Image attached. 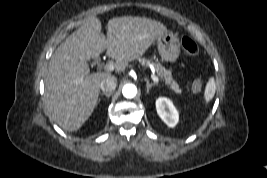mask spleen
<instances>
[{
  "mask_svg": "<svg viewBox=\"0 0 267 178\" xmlns=\"http://www.w3.org/2000/svg\"><path fill=\"white\" fill-rule=\"evenodd\" d=\"M215 90H216L215 82L213 79H210L207 83L206 90L204 93L206 102H209L214 97Z\"/></svg>",
  "mask_w": 267,
  "mask_h": 178,
  "instance_id": "spleen-1",
  "label": "spleen"
}]
</instances>
